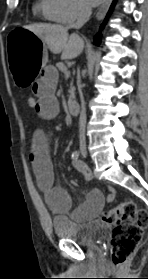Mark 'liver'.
Segmentation results:
<instances>
[{
  "mask_svg": "<svg viewBox=\"0 0 148 279\" xmlns=\"http://www.w3.org/2000/svg\"><path fill=\"white\" fill-rule=\"evenodd\" d=\"M25 29L33 32L54 54L61 53V59H74L83 51L84 41L77 35L69 36L68 29L55 24L27 25Z\"/></svg>",
  "mask_w": 148,
  "mask_h": 279,
  "instance_id": "1",
  "label": "liver"
}]
</instances>
